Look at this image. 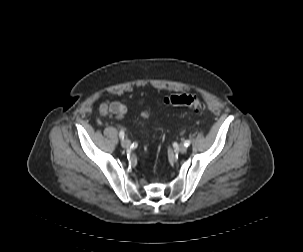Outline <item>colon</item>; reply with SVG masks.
<instances>
[{"instance_id":"colon-1","label":"colon","mask_w":303,"mask_h":252,"mask_svg":"<svg viewBox=\"0 0 303 252\" xmlns=\"http://www.w3.org/2000/svg\"><path fill=\"white\" fill-rule=\"evenodd\" d=\"M164 103L173 106H186L196 112H203L205 110L204 103L195 95L188 93L174 94L166 97ZM142 116L147 117L148 112H143Z\"/></svg>"}]
</instances>
